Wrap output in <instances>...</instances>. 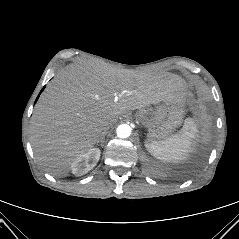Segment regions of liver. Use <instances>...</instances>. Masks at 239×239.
Segmentation results:
<instances>
[{
  "instance_id": "obj_1",
  "label": "liver",
  "mask_w": 239,
  "mask_h": 239,
  "mask_svg": "<svg viewBox=\"0 0 239 239\" xmlns=\"http://www.w3.org/2000/svg\"><path fill=\"white\" fill-rule=\"evenodd\" d=\"M186 88L173 74L71 65L47 85L35 106L30 130L36 159L51 175L66 176L73 160L101 138L104 121L183 98Z\"/></svg>"
}]
</instances>
